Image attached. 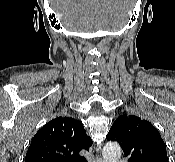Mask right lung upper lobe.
Returning <instances> with one entry per match:
<instances>
[{
	"label": "right lung upper lobe",
	"instance_id": "1",
	"mask_svg": "<svg viewBox=\"0 0 175 162\" xmlns=\"http://www.w3.org/2000/svg\"><path fill=\"white\" fill-rule=\"evenodd\" d=\"M92 140L83 124L71 117L48 122L33 137L25 162H86L81 150H89Z\"/></svg>",
	"mask_w": 175,
	"mask_h": 162
}]
</instances>
